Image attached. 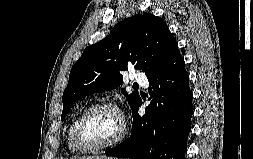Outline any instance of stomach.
<instances>
[{
    "label": "stomach",
    "instance_id": "1",
    "mask_svg": "<svg viewBox=\"0 0 253 159\" xmlns=\"http://www.w3.org/2000/svg\"><path fill=\"white\" fill-rule=\"evenodd\" d=\"M103 159H109V158H103ZM110 159H116V158H110Z\"/></svg>",
    "mask_w": 253,
    "mask_h": 159
}]
</instances>
